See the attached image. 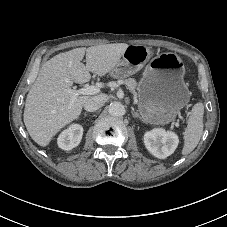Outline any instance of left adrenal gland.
I'll use <instances>...</instances> for the list:
<instances>
[{
    "label": "left adrenal gland",
    "instance_id": "a2214340",
    "mask_svg": "<svg viewBox=\"0 0 227 227\" xmlns=\"http://www.w3.org/2000/svg\"><path fill=\"white\" fill-rule=\"evenodd\" d=\"M132 116L134 117V118H140V116H139V114L134 110V108H132Z\"/></svg>",
    "mask_w": 227,
    "mask_h": 227
}]
</instances>
